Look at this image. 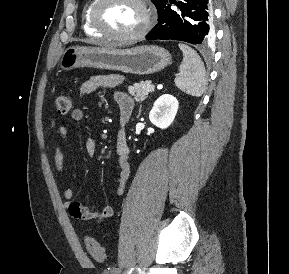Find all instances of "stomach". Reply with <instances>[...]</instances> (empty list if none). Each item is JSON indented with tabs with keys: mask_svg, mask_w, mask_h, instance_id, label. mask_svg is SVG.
Returning a JSON list of instances; mask_svg holds the SVG:
<instances>
[{
	"mask_svg": "<svg viewBox=\"0 0 289 274\" xmlns=\"http://www.w3.org/2000/svg\"><path fill=\"white\" fill-rule=\"evenodd\" d=\"M171 60L169 51L154 45L130 49L69 46L63 51L58 67L63 71L90 67L148 75L161 71Z\"/></svg>",
	"mask_w": 289,
	"mask_h": 274,
	"instance_id": "stomach-1",
	"label": "stomach"
}]
</instances>
